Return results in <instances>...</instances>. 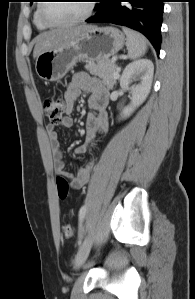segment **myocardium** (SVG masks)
<instances>
[{"mask_svg": "<svg viewBox=\"0 0 195 299\" xmlns=\"http://www.w3.org/2000/svg\"><path fill=\"white\" fill-rule=\"evenodd\" d=\"M47 3H40L39 7H38V13H39V17L40 19L47 24L48 26L51 27H64V26H70V25H74L83 21H86L88 18L91 17V15L93 14L94 10H95V3L93 0H88V5H87V9L85 11V13L79 17H76L74 19L68 20V21H64V22H56L51 20L50 18L47 17V15L45 14L44 8L45 5Z\"/></svg>", "mask_w": 195, "mask_h": 299, "instance_id": "f54148a6", "label": "myocardium"}]
</instances>
